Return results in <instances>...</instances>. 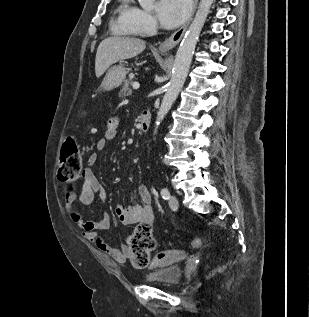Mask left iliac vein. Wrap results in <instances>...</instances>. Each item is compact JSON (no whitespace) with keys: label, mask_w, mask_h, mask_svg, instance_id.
<instances>
[{"label":"left iliac vein","mask_w":309,"mask_h":317,"mask_svg":"<svg viewBox=\"0 0 309 317\" xmlns=\"http://www.w3.org/2000/svg\"><path fill=\"white\" fill-rule=\"evenodd\" d=\"M168 203H169V206L172 210H177L179 207V202H178V199L175 195H171L169 197Z\"/></svg>","instance_id":"obj_1"}]
</instances>
